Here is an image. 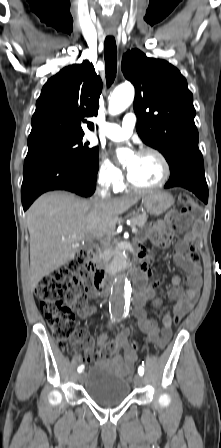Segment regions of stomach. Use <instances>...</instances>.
Wrapping results in <instances>:
<instances>
[{"label": "stomach", "mask_w": 221, "mask_h": 448, "mask_svg": "<svg viewBox=\"0 0 221 448\" xmlns=\"http://www.w3.org/2000/svg\"><path fill=\"white\" fill-rule=\"evenodd\" d=\"M141 198L146 211L156 216L166 212L174 203L172 195L165 191H150Z\"/></svg>", "instance_id": "obj_1"}]
</instances>
